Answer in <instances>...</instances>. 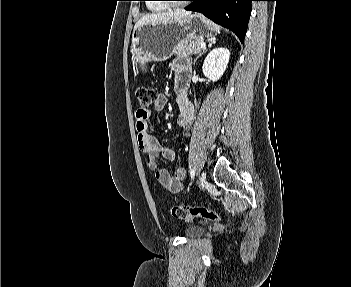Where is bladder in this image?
Instances as JSON below:
<instances>
[{"instance_id": "31cf9c89", "label": "bladder", "mask_w": 351, "mask_h": 287, "mask_svg": "<svg viewBox=\"0 0 351 287\" xmlns=\"http://www.w3.org/2000/svg\"><path fill=\"white\" fill-rule=\"evenodd\" d=\"M204 228L202 226H189L185 229V235L188 237H196L203 233Z\"/></svg>"}]
</instances>
